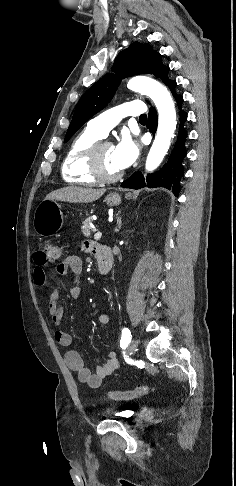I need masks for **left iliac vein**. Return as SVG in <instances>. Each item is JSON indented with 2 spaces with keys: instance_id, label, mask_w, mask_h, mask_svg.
<instances>
[{
  "instance_id": "1",
  "label": "left iliac vein",
  "mask_w": 236,
  "mask_h": 486,
  "mask_svg": "<svg viewBox=\"0 0 236 486\" xmlns=\"http://www.w3.org/2000/svg\"><path fill=\"white\" fill-rule=\"evenodd\" d=\"M138 350V342L136 340H132L128 346V351L131 355L136 354Z\"/></svg>"
}]
</instances>
